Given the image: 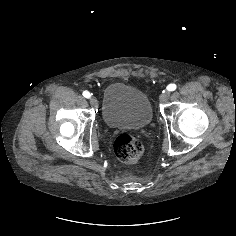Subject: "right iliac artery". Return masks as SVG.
I'll list each match as a JSON object with an SVG mask.
<instances>
[{
	"label": "right iliac artery",
	"mask_w": 236,
	"mask_h": 236,
	"mask_svg": "<svg viewBox=\"0 0 236 236\" xmlns=\"http://www.w3.org/2000/svg\"><path fill=\"white\" fill-rule=\"evenodd\" d=\"M83 96H84L85 98H90L91 94H90L88 91H84V92H83Z\"/></svg>",
	"instance_id": "82829eb1"
}]
</instances>
